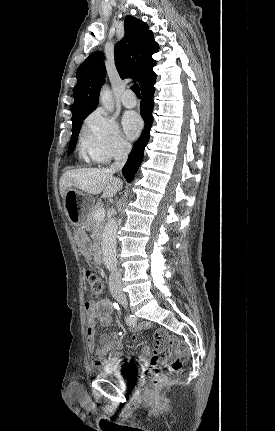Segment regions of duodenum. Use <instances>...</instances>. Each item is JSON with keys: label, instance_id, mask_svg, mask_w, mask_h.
<instances>
[{"label": "duodenum", "instance_id": "1", "mask_svg": "<svg viewBox=\"0 0 275 431\" xmlns=\"http://www.w3.org/2000/svg\"><path fill=\"white\" fill-rule=\"evenodd\" d=\"M93 258L97 264H101L103 262V251L100 242L93 246Z\"/></svg>", "mask_w": 275, "mask_h": 431}]
</instances>
